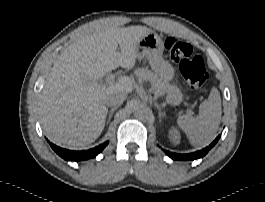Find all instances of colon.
<instances>
[{"label": "colon", "instance_id": "obj_1", "mask_svg": "<svg viewBox=\"0 0 265 202\" xmlns=\"http://www.w3.org/2000/svg\"><path fill=\"white\" fill-rule=\"evenodd\" d=\"M165 46L170 58L179 64V70L188 85L194 89L201 87L207 80V71L204 60L194 56L191 45L170 37Z\"/></svg>", "mask_w": 265, "mask_h": 202}]
</instances>
